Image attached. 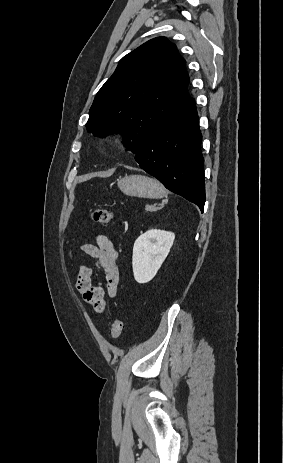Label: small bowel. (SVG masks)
I'll use <instances>...</instances> for the list:
<instances>
[{
    "mask_svg": "<svg viewBox=\"0 0 283 463\" xmlns=\"http://www.w3.org/2000/svg\"><path fill=\"white\" fill-rule=\"evenodd\" d=\"M81 250L95 260L97 270L104 271L105 284L97 280L93 285V269L82 264L78 270L75 288L94 310L102 312L106 306V297L113 298L117 294L120 281L118 253L112 241L105 235L97 236L95 244H83Z\"/></svg>",
    "mask_w": 283,
    "mask_h": 463,
    "instance_id": "c3829d8e",
    "label": "small bowel"
}]
</instances>
